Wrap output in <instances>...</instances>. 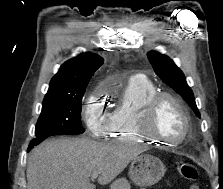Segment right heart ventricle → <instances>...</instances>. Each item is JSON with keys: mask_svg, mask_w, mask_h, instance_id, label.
I'll return each instance as SVG.
<instances>
[{"mask_svg": "<svg viewBox=\"0 0 223 189\" xmlns=\"http://www.w3.org/2000/svg\"><path fill=\"white\" fill-rule=\"evenodd\" d=\"M156 87L147 79L130 80L124 88L118 105L107 116L106 137L123 142H142L145 140L137 130L136 114Z\"/></svg>", "mask_w": 223, "mask_h": 189, "instance_id": "obj_1", "label": "right heart ventricle"}]
</instances>
